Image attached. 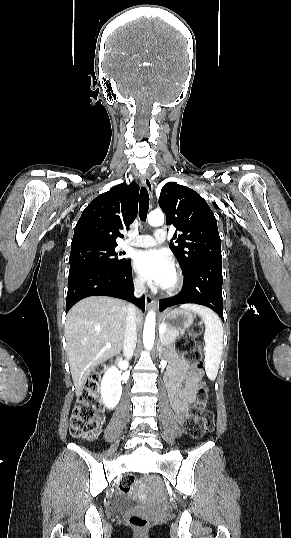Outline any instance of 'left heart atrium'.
I'll return each mask as SVG.
<instances>
[{
    "label": "left heart atrium",
    "mask_w": 291,
    "mask_h": 538,
    "mask_svg": "<svg viewBox=\"0 0 291 538\" xmlns=\"http://www.w3.org/2000/svg\"><path fill=\"white\" fill-rule=\"evenodd\" d=\"M133 266L139 277L146 282L163 287L173 274L170 257L161 250H145L135 254Z\"/></svg>",
    "instance_id": "39dd6f15"
}]
</instances>
